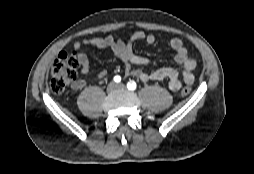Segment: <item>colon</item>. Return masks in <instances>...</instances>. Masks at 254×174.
Masks as SVG:
<instances>
[{"mask_svg": "<svg viewBox=\"0 0 254 174\" xmlns=\"http://www.w3.org/2000/svg\"><path fill=\"white\" fill-rule=\"evenodd\" d=\"M78 63L75 52H61L56 58L52 70L50 87L56 93H62L77 76ZM191 93L190 87H184L181 94L187 96Z\"/></svg>", "mask_w": 254, "mask_h": 174, "instance_id": "colon-1", "label": "colon"}]
</instances>
